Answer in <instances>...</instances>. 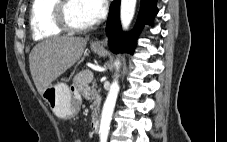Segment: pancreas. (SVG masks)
<instances>
[{"instance_id":"1","label":"pancreas","mask_w":227,"mask_h":142,"mask_svg":"<svg viewBox=\"0 0 227 142\" xmlns=\"http://www.w3.org/2000/svg\"><path fill=\"white\" fill-rule=\"evenodd\" d=\"M88 70L79 72L73 79V84L77 87L78 92L87 100L92 102L91 109L93 114L99 111L101 98L96 90L95 84L90 85L91 82L87 79Z\"/></svg>"}]
</instances>
